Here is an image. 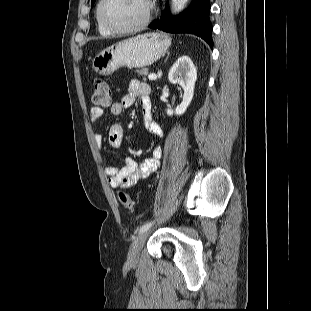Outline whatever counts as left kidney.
Returning <instances> with one entry per match:
<instances>
[{"mask_svg": "<svg viewBox=\"0 0 311 311\" xmlns=\"http://www.w3.org/2000/svg\"><path fill=\"white\" fill-rule=\"evenodd\" d=\"M168 79L172 84H179L184 90V95L181 104L175 110L167 109V115H182L193 99L195 82L197 80V70L192 60L188 56L179 57L171 67Z\"/></svg>", "mask_w": 311, "mask_h": 311, "instance_id": "left-kidney-1", "label": "left kidney"}]
</instances>
